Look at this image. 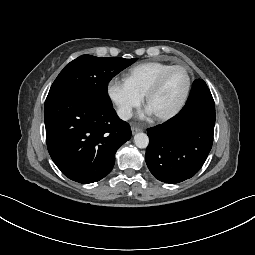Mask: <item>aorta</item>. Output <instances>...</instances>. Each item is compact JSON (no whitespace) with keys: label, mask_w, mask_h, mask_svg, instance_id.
<instances>
[{"label":"aorta","mask_w":255,"mask_h":255,"mask_svg":"<svg viewBox=\"0 0 255 255\" xmlns=\"http://www.w3.org/2000/svg\"><path fill=\"white\" fill-rule=\"evenodd\" d=\"M134 143L138 148H146L149 145V137L145 133H137L134 136Z\"/></svg>","instance_id":"obj_1"}]
</instances>
